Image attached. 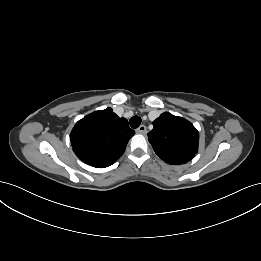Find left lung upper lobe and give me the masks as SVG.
<instances>
[{
  "instance_id": "5c2ea615",
  "label": "left lung upper lobe",
  "mask_w": 261,
  "mask_h": 261,
  "mask_svg": "<svg viewBox=\"0 0 261 261\" xmlns=\"http://www.w3.org/2000/svg\"><path fill=\"white\" fill-rule=\"evenodd\" d=\"M155 153L166 163L184 164L198 151L199 133L186 119L164 112L147 134Z\"/></svg>"
}]
</instances>
